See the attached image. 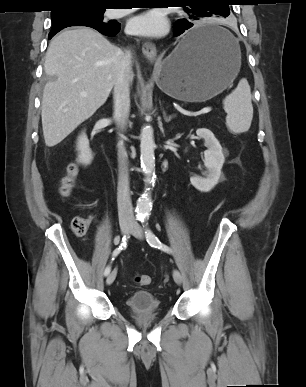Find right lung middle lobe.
<instances>
[{
	"instance_id": "dd1d6c3e",
	"label": "right lung middle lobe",
	"mask_w": 306,
	"mask_h": 387,
	"mask_svg": "<svg viewBox=\"0 0 306 387\" xmlns=\"http://www.w3.org/2000/svg\"><path fill=\"white\" fill-rule=\"evenodd\" d=\"M105 8L94 6H73L62 8L58 12H51L53 32H59L70 26L111 27L116 24H108L103 21ZM50 36V35H49Z\"/></svg>"
}]
</instances>
